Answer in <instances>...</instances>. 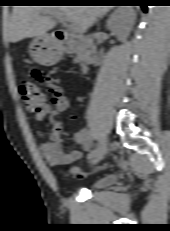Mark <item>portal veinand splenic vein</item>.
Wrapping results in <instances>:
<instances>
[{"label": "portal vein and splenic vein", "mask_w": 170, "mask_h": 231, "mask_svg": "<svg viewBox=\"0 0 170 231\" xmlns=\"http://www.w3.org/2000/svg\"><path fill=\"white\" fill-rule=\"evenodd\" d=\"M57 19H58L61 23L66 24V21H65L64 17H63L61 14H58V15H57ZM69 27H70L73 31L76 30L74 24H70Z\"/></svg>", "instance_id": "portal-vein-and-splenic-vein-1"}]
</instances>
